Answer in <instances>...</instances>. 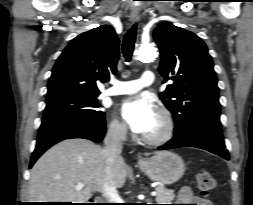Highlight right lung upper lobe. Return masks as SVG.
Masks as SVG:
<instances>
[{
  "instance_id": "1",
  "label": "right lung upper lobe",
  "mask_w": 253,
  "mask_h": 205,
  "mask_svg": "<svg viewBox=\"0 0 253 205\" xmlns=\"http://www.w3.org/2000/svg\"><path fill=\"white\" fill-rule=\"evenodd\" d=\"M119 40L110 25L74 38L57 59L48 83L47 101L79 95H99L96 81L116 72Z\"/></svg>"
}]
</instances>
